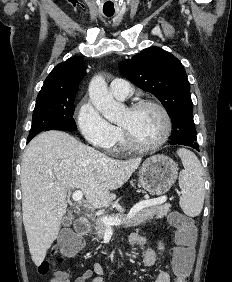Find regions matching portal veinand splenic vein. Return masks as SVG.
I'll use <instances>...</instances> for the list:
<instances>
[{
    "label": "portal vein and splenic vein",
    "instance_id": "obj_1",
    "mask_svg": "<svg viewBox=\"0 0 232 282\" xmlns=\"http://www.w3.org/2000/svg\"><path fill=\"white\" fill-rule=\"evenodd\" d=\"M72 199L74 201H76L77 203H81L83 201L82 191H80V190L74 191L72 193ZM166 200H167L166 196H161V197L156 198V199L141 201L131 209V211L129 212L127 217L130 219V218L134 217L140 210L147 208V207L160 205V204L166 202ZM85 207H86V205H85ZM100 221L103 222L107 227L114 226V225L115 226L120 225L122 223L121 219L114 218V217H108V216L101 217Z\"/></svg>",
    "mask_w": 232,
    "mask_h": 282
}]
</instances>
